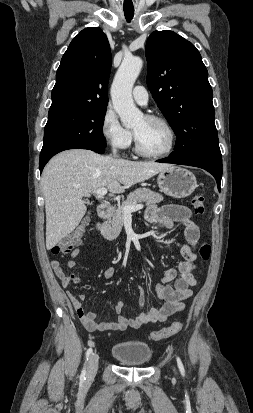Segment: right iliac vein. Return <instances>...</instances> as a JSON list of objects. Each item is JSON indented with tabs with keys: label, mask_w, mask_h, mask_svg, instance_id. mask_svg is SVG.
<instances>
[{
	"label": "right iliac vein",
	"mask_w": 253,
	"mask_h": 413,
	"mask_svg": "<svg viewBox=\"0 0 253 413\" xmlns=\"http://www.w3.org/2000/svg\"><path fill=\"white\" fill-rule=\"evenodd\" d=\"M97 369H98V356L97 354L93 353L90 358L89 367H88L87 376H86L88 381L92 380L95 377L97 373Z\"/></svg>",
	"instance_id": "obj_1"
}]
</instances>
